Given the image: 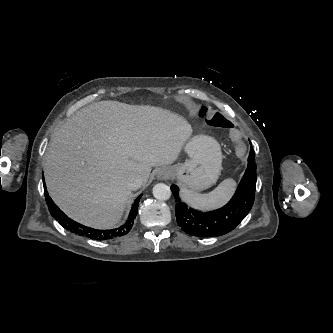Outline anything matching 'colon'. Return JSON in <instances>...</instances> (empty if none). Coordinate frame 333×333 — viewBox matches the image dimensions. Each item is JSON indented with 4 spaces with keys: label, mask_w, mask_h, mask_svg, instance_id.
Returning a JSON list of instances; mask_svg holds the SVG:
<instances>
[{
    "label": "colon",
    "mask_w": 333,
    "mask_h": 333,
    "mask_svg": "<svg viewBox=\"0 0 333 333\" xmlns=\"http://www.w3.org/2000/svg\"><path fill=\"white\" fill-rule=\"evenodd\" d=\"M198 116L205 119L210 126L228 129L230 135L232 133L238 134V132L233 129L231 122L225 116L218 112L211 111L207 107H202L198 112Z\"/></svg>",
    "instance_id": "obj_1"
}]
</instances>
